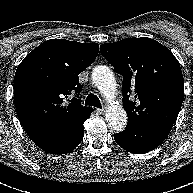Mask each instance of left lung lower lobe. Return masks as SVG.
I'll list each match as a JSON object with an SVG mask.
<instances>
[{
  "instance_id": "1",
  "label": "left lung lower lobe",
  "mask_w": 193,
  "mask_h": 193,
  "mask_svg": "<svg viewBox=\"0 0 193 193\" xmlns=\"http://www.w3.org/2000/svg\"><path fill=\"white\" fill-rule=\"evenodd\" d=\"M172 126L166 123L127 125L126 130L114 134V139L126 151L143 154L158 147L167 138Z\"/></svg>"
}]
</instances>
